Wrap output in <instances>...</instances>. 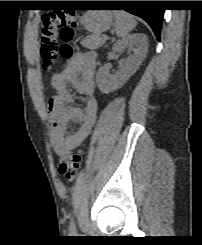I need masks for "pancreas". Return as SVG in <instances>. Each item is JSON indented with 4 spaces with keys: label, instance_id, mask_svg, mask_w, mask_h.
Listing matches in <instances>:
<instances>
[{
    "label": "pancreas",
    "instance_id": "obj_1",
    "mask_svg": "<svg viewBox=\"0 0 202 245\" xmlns=\"http://www.w3.org/2000/svg\"><path fill=\"white\" fill-rule=\"evenodd\" d=\"M104 43H105L104 37L100 35L92 34L84 38L81 42V45L84 46L85 48L94 50L101 47Z\"/></svg>",
    "mask_w": 202,
    "mask_h": 245
}]
</instances>
